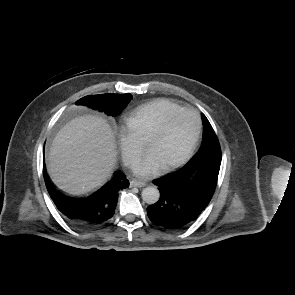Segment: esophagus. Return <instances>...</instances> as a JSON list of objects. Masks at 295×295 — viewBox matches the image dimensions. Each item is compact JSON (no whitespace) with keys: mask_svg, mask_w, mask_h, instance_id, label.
Returning a JSON list of instances; mask_svg holds the SVG:
<instances>
[{"mask_svg":"<svg viewBox=\"0 0 295 295\" xmlns=\"http://www.w3.org/2000/svg\"><path fill=\"white\" fill-rule=\"evenodd\" d=\"M145 185H146V183L143 181L132 180L130 182V187H144Z\"/></svg>","mask_w":295,"mask_h":295,"instance_id":"1","label":"esophagus"}]
</instances>
